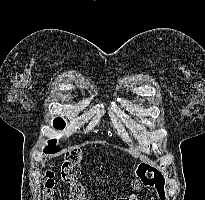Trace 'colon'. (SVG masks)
I'll return each instance as SVG.
<instances>
[{
	"label": "colon",
	"mask_w": 205,
	"mask_h": 200,
	"mask_svg": "<svg viewBox=\"0 0 205 200\" xmlns=\"http://www.w3.org/2000/svg\"><path fill=\"white\" fill-rule=\"evenodd\" d=\"M82 153L78 149L66 152L61 166V178L69 185L70 200H85V190L80 183ZM55 172L48 169L43 178V200H54ZM142 188H154L160 197L165 195V178L157 169L139 164L135 170L132 189L139 191ZM134 195L123 197L119 200H133Z\"/></svg>",
	"instance_id": "obj_1"
}]
</instances>
